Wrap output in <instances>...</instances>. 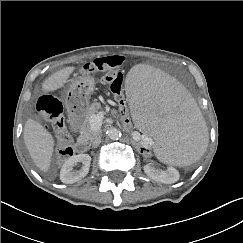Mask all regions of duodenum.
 <instances>
[{
    "label": "duodenum",
    "instance_id": "1",
    "mask_svg": "<svg viewBox=\"0 0 243 243\" xmlns=\"http://www.w3.org/2000/svg\"><path fill=\"white\" fill-rule=\"evenodd\" d=\"M88 142L85 138H80L77 141L76 148L79 152H84L87 149Z\"/></svg>",
    "mask_w": 243,
    "mask_h": 243
}]
</instances>
